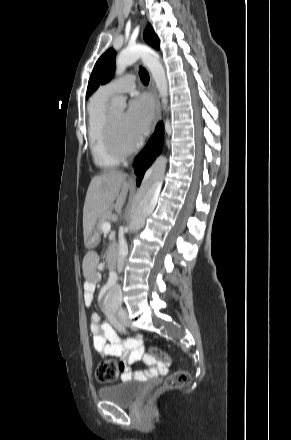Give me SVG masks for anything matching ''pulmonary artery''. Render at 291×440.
I'll use <instances>...</instances> for the list:
<instances>
[{
  "mask_svg": "<svg viewBox=\"0 0 291 440\" xmlns=\"http://www.w3.org/2000/svg\"><path fill=\"white\" fill-rule=\"evenodd\" d=\"M137 78L135 75L129 74L124 77L111 81L99 88L101 95L111 97L114 94L130 93L136 88Z\"/></svg>",
  "mask_w": 291,
  "mask_h": 440,
  "instance_id": "e3ab8cb5",
  "label": "pulmonary artery"
}]
</instances>
